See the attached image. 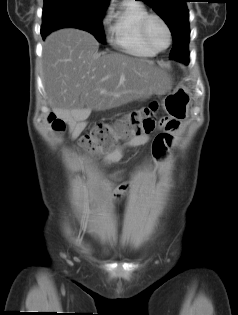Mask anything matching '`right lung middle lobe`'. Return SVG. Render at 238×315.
Segmentation results:
<instances>
[{"label": "right lung middle lobe", "instance_id": "obj_1", "mask_svg": "<svg viewBox=\"0 0 238 315\" xmlns=\"http://www.w3.org/2000/svg\"><path fill=\"white\" fill-rule=\"evenodd\" d=\"M107 6L94 0H44L42 38L54 30L74 27L88 31L102 43L105 36L101 18Z\"/></svg>", "mask_w": 238, "mask_h": 315}]
</instances>
